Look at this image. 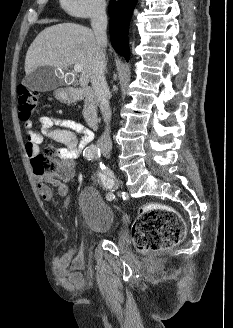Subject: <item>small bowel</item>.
Listing matches in <instances>:
<instances>
[{"mask_svg": "<svg viewBox=\"0 0 233 328\" xmlns=\"http://www.w3.org/2000/svg\"><path fill=\"white\" fill-rule=\"evenodd\" d=\"M27 142L25 152L29 158H34L39 151V145L45 138L52 139L62 145L57 151L60 161V171L71 175L74 170V161L90 147L94 138L93 132L81 123L67 118H53L43 116L40 121V131L32 128L30 121L25 122ZM80 136V138L77 137ZM38 190L44 200L53 199V191L47 185L53 184L58 188V193L65 198L64 207L70 204L69 191L66 184L54 180L53 176H38ZM55 266L60 273V284L67 291L81 290L85 286V275L75 269L72 257L66 253L55 260Z\"/></svg>", "mask_w": 233, "mask_h": 328, "instance_id": "1", "label": "small bowel"}]
</instances>
